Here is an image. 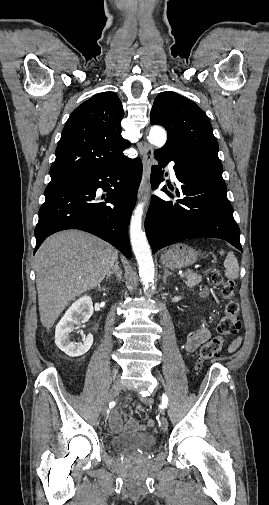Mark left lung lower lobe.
I'll list each match as a JSON object with an SVG mask.
<instances>
[{"label": "left lung lower lobe", "mask_w": 269, "mask_h": 505, "mask_svg": "<svg viewBox=\"0 0 269 505\" xmlns=\"http://www.w3.org/2000/svg\"><path fill=\"white\" fill-rule=\"evenodd\" d=\"M159 165L152 167V187L163 180L161 166L174 161V171L181 185L171 194L174 201L152 197L145 220V230L152 251L193 237H211L228 241L242 251L239 227L233 218L222 178L223 167L209 159L177 148L155 152ZM171 190L173 188L169 187Z\"/></svg>", "instance_id": "1"}]
</instances>
